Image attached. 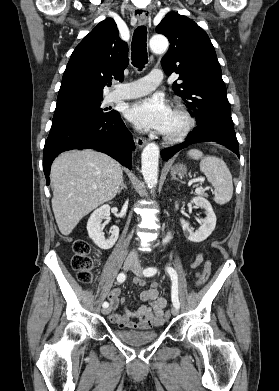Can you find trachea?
<instances>
[{"label":"trachea","instance_id":"trachea-1","mask_svg":"<svg viewBox=\"0 0 279 391\" xmlns=\"http://www.w3.org/2000/svg\"><path fill=\"white\" fill-rule=\"evenodd\" d=\"M132 64L139 70L143 69L148 62L147 55V29L144 25L135 29L132 43Z\"/></svg>","mask_w":279,"mask_h":391}]
</instances>
